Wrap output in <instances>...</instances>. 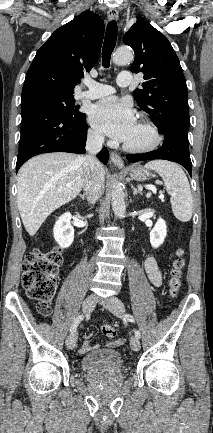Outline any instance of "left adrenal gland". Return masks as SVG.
<instances>
[{
  "label": "left adrenal gland",
  "mask_w": 213,
  "mask_h": 433,
  "mask_svg": "<svg viewBox=\"0 0 213 433\" xmlns=\"http://www.w3.org/2000/svg\"><path fill=\"white\" fill-rule=\"evenodd\" d=\"M132 189H133V195H137V194L142 195L141 189H137L134 186H132Z\"/></svg>",
  "instance_id": "1"
}]
</instances>
